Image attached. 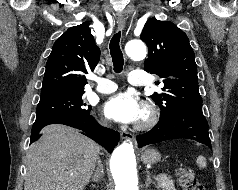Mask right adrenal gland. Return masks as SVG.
Listing matches in <instances>:
<instances>
[{
  "label": "right adrenal gland",
  "mask_w": 238,
  "mask_h": 190,
  "mask_svg": "<svg viewBox=\"0 0 238 190\" xmlns=\"http://www.w3.org/2000/svg\"><path fill=\"white\" fill-rule=\"evenodd\" d=\"M104 170L101 160L98 158V166L96 172L92 176V181L98 183L101 178H103Z\"/></svg>",
  "instance_id": "obj_1"
}]
</instances>
